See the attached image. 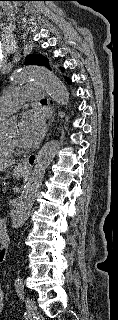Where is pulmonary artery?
<instances>
[{"instance_id": "pulmonary-artery-1", "label": "pulmonary artery", "mask_w": 118, "mask_h": 320, "mask_svg": "<svg viewBox=\"0 0 118 320\" xmlns=\"http://www.w3.org/2000/svg\"><path fill=\"white\" fill-rule=\"evenodd\" d=\"M42 86L40 84H29L21 89H13L3 98H0V113L10 114L26 101H40L42 99Z\"/></svg>"}]
</instances>
